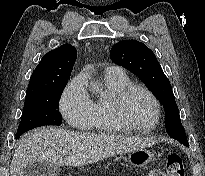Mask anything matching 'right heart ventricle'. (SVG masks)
I'll use <instances>...</instances> for the list:
<instances>
[{
	"instance_id": "e07e8e85",
	"label": "right heart ventricle",
	"mask_w": 205,
	"mask_h": 176,
	"mask_svg": "<svg viewBox=\"0 0 205 176\" xmlns=\"http://www.w3.org/2000/svg\"><path fill=\"white\" fill-rule=\"evenodd\" d=\"M104 83L109 97H98L93 102V115L89 123L90 129L100 135L121 133L126 128L115 115L114 103L117 94L131 84L125 73H105Z\"/></svg>"
}]
</instances>
